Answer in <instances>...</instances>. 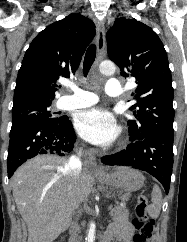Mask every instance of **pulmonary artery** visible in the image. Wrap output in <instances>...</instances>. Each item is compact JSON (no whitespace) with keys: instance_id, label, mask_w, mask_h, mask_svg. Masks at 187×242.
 Masks as SVG:
<instances>
[{"instance_id":"e3ab8cb5","label":"pulmonary artery","mask_w":187,"mask_h":242,"mask_svg":"<svg viewBox=\"0 0 187 242\" xmlns=\"http://www.w3.org/2000/svg\"><path fill=\"white\" fill-rule=\"evenodd\" d=\"M72 95L63 96L60 99L59 107L62 109H74L90 106L97 102V97L88 91L71 86ZM105 93L111 97L120 96L122 93V85L119 80L111 78L105 86Z\"/></svg>"}]
</instances>
